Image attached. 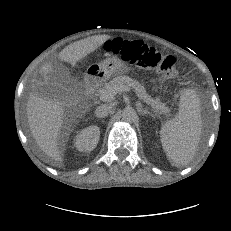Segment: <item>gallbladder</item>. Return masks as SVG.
I'll return each instance as SVG.
<instances>
[{
  "label": "gallbladder",
  "mask_w": 231,
  "mask_h": 231,
  "mask_svg": "<svg viewBox=\"0 0 231 231\" xmlns=\"http://www.w3.org/2000/svg\"><path fill=\"white\" fill-rule=\"evenodd\" d=\"M54 67L61 76V79L44 83L41 87V94L48 99L60 100L67 94L64 87H69L73 82L66 67L60 63H54ZM60 82H63V84L61 85Z\"/></svg>",
  "instance_id": "obj_1"
}]
</instances>
